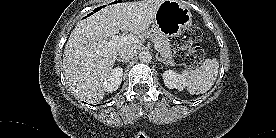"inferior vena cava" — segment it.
Returning a JSON list of instances; mask_svg holds the SVG:
<instances>
[{
    "label": "inferior vena cava",
    "mask_w": 276,
    "mask_h": 138,
    "mask_svg": "<svg viewBox=\"0 0 276 138\" xmlns=\"http://www.w3.org/2000/svg\"><path fill=\"white\" fill-rule=\"evenodd\" d=\"M138 48L133 45L131 47L123 48L118 52V55L123 59L128 61L137 54Z\"/></svg>",
    "instance_id": "obj_1"
}]
</instances>
